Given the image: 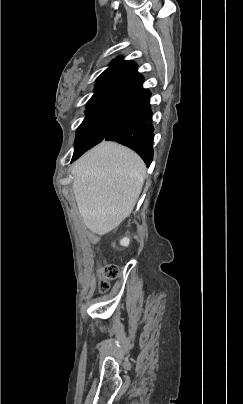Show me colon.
<instances>
[{"label": "colon", "mask_w": 243, "mask_h": 404, "mask_svg": "<svg viewBox=\"0 0 243 404\" xmlns=\"http://www.w3.org/2000/svg\"><path fill=\"white\" fill-rule=\"evenodd\" d=\"M99 290L105 293L109 288V281L114 280L119 275V268L115 264H105L99 269Z\"/></svg>", "instance_id": "5ec220e1"}]
</instances>
